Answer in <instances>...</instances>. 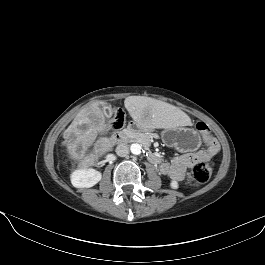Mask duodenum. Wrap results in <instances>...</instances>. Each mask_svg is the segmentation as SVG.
Instances as JSON below:
<instances>
[{
	"instance_id": "obj_1",
	"label": "duodenum",
	"mask_w": 265,
	"mask_h": 265,
	"mask_svg": "<svg viewBox=\"0 0 265 265\" xmlns=\"http://www.w3.org/2000/svg\"><path fill=\"white\" fill-rule=\"evenodd\" d=\"M126 135L127 133L125 131L116 132L111 136V141L113 143H119L125 139ZM149 159L155 164L161 163V158L153 152L149 153Z\"/></svg>"
}]
</instances>
